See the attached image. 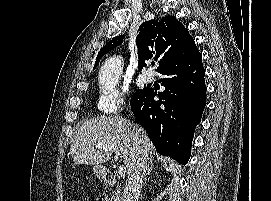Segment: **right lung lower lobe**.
I'll return each mask as SVG.
<instances>
[{
  "label": "right lung lower lobe",
  "instance_id": "obj_1",
  "mask_svg": "<svg viewBox=\"0 0 271 201\" xmlns=\"http://www.w3.org/2000/svg\"><path fill=\"white\" fill-rule=\"evenodd\" d=\"M193 38L157 72L165 90L153 88L131 97V110L148 133L156 151L185 165L191 142L206 105L205 69ZM158 95L160 99L154 100Z\"/></svg>",
  "mask_w": 271,
  "mask_h": 201
}]
</instances>
